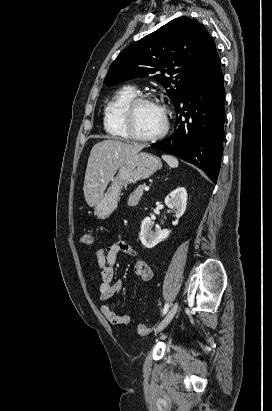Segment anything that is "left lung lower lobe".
Returning <instances> with one entry per match:
<instances>
[{"label": "left lung lower lobe", "instance_id": "obj_1", "mask_svg": "<svg viewBox=\"0 0 272 411\" xmlns=\"http://www.w3.org/2000/svg\"><path fill=\"white\" fill-rule=\"evenodd\" d=\"M225 91L219 56L175 105L172 135L151 146L201 168L217 181L223 153Z\"/></svg>", "mask_w": 272, "mask_h": 411}]
</instances>
